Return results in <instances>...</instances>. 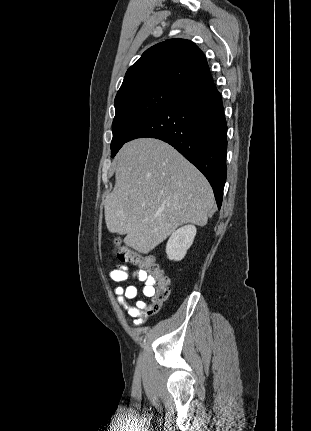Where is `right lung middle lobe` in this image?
<instances>
[{
    "mask_svg": "<svg viewBox=\"0 0 311 431\" xmlns=\"http://www.w3.org/2000/svg\"><path fill=\"white\" fill-rule=\"evenodd\" d=\"M180 95L155 88L130 91L115 98L111 157L128 142L132 132Z\"/></svg>",
    "mask_w": 311,
    "mask_h": 431,
    "instance_id": "obj_1",
    "label": "right lung middle lobe"
}]
</instances>
